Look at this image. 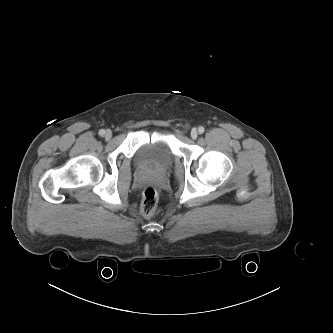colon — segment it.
Wrapping results in <instances>:
<instances>
[{"mask_svg": "<svg viewBox=\"0 0 333 333\" xmlns=\"http://www.w3.org/2000/svg\"><path fill=\"white\" fill-rule=\"evenodd\" d=\"M141 214L145 218H151L158 212V194L153 187H147L142 196Z\"/></svg>", "mask_w": 333, "mask_h": 333, "instance_id": "obj_1", "label": "colon"}]
</instances>
